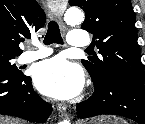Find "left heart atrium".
Returning <instances> with one entry per match:
<instances>
[{"instance_id": "39dd6f15", "label": "left heart atrium", "mask_w": 145, "mask_h": 124, "mask_svg": "<svg viewBox=\"0 0 145 124\" xmlns=\"http://www.w3.org/2000/svg\"><path fill=\"white\" fill-rule=\"evenodd\" d=\"M33 78L39 91L62 100L75 97L84 83L81 69L63 56L39 63L34 69Z\"/></svg>"}]
</instances>
